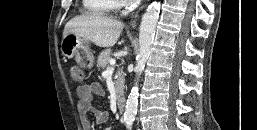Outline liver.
<instances>
[{
	"instance_id": "1",
	"label": "liver",
	"mask_w": 257,
	"mask_h": 130,
	"mask_svg": "<svg viewBox=\"0 0 257 130\" xmlns=\"http://www.w3.org/2000/svg\"><path fill=\"white\" fill-rule=\"evenodd\" d=\"M124 24L118 20L98 14H86L72 18L65 25L63 36L76 33L103 48L116 44Z\"/></svg>"
}]
</instances>
